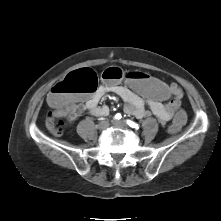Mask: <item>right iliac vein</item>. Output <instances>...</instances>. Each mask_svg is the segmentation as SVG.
Segmentation results:
<instances>
[{"mask_svg": "<svg viewBox=\"0 0 221 221\" xmlns=\"http://www.w3.org/2000/svg\"><path fill=\"white\" fill-rule=\"evenodd\" d=\"M108 126H109V123H108V122L102 121V122H100V123L98 124L97 127H98L99 130H104V129H106Z\"/></svg>", "mask_w": 221, "mask_h": 221, "instance_id": "right-iliac-vein-1", "label": "right iliac vein"}]
</instances>
